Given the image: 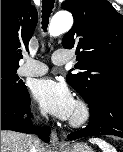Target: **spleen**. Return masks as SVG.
<instances>
[{
  "label": "spleen",
  "instance_id": "spleen-1",
  "mask_svg": "<svg viewBox=\"0 0 123 152\" xmlns=\"http://www.w3.org/2000/svg\"><path fill=\"white\" fill-rule=\"evenodd\" d=\"M91 141L97 144L102 150V152H116V149L113 146H111L109 143L102 139L94 138Z\"/></svg>",
  "mask_w": 123,
  "mask_h": 152
}]
</instances>
